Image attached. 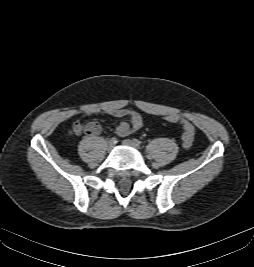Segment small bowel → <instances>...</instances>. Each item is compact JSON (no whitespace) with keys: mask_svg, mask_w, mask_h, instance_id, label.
Listing matches in <instances>:
<instances>
[{"mask_svg":"<svg viewBox=\"0 0 254 267\" xmlns=\"http://www.w3.org/2000/svg\"><path fill=\"white\" fill-rule=\"evenodd\" d=\"M100 114L123 119L115 129L116 134L120 137H126L131 133L139 130L143 126L142 116L139 113L128 109L112 108L104 111L93 110L85 113L86 116H94ZM73 129L77 131V134H79L83 129L85 134L88 136H96L101 131V127L97 122H90L83 128L80 121H75L73 124Z\"/></svg>","mask_w":254,"mask_h":267,"instance_id":"1","label":"small bowel"}]
</instances>
